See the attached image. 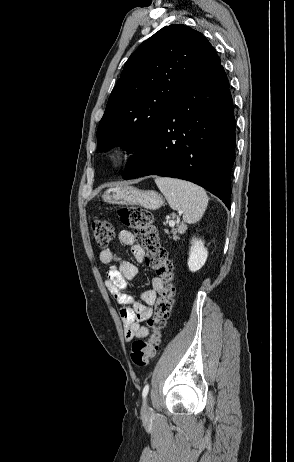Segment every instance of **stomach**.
Here are the masks:
<instances>
[{
	"label": "stomach",
	"mask_w": 294,
	"mask_h": 462,
	"mask_svg": "<svg viewBox=\"0 0 294 462\" xmlns=\"http://www.w3.org/2000/svg\"><path fill=\"white\" fill-rule=\"evenodd\" d=\"M102 198L110 204L140 205L150 210H157L164 204V199L159 193L140 190L133 186L109 188L103 193Z\"/></svg>",
	"instance_id": "0dacf381"
}]
</instances>
